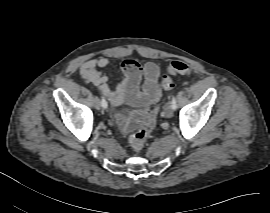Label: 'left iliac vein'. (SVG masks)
<instances>
[{
  "mask_svg": "<svg viewBox=\"0 0 270 213\" xmlns=\"http://www.w3.org/2000/svg\"><path fill=\"white\" fill-rule=\"evenodd\" d=\"M164 115H165V117L166 118H171V117H173V109H172V107H171V105H170V103H167L166 105H165V107H164Z\"/></svg>",
  "mask_w": 270,
  "mask_h": 213,
  "instance_id": "obj_1",
  "label": "left iliac vein"
}]
</instances>
